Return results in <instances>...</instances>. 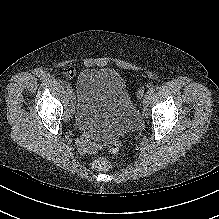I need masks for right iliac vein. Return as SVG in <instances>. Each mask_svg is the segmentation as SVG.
I'll use <instances>...</instances> for the list:
<instances>
[{
	"instance_id": "right-iliac-vein-1",
	"label": "right iliac vein",
	"mask_w": 219,
	"mask_h": 219,
	"mask_svg": "<svg viewBox=\"0 0 219 219\" xmlns=\"http://www.w3.org/2000/svg\"><path fill=\"white\" fill-rule=\"evenodd\" d=\"M68 91H69L70 98H71L72 100H74V99H75V96H74L73 90H72L71 88H69Z\"/></svg>"
}]
</instances>
